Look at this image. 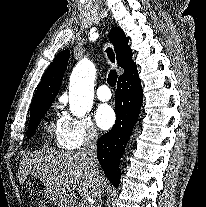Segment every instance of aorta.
Instances as JSON below:
<instances>
[{"instance_id":"aorta-1","label":"aorta","mask_w":206,"mask_h":207,"mask_svg":"<svg viewBox=\"0 0 206 207\" xmlns=\"http://www.w3.org/2000/svg\"><path fill=\"white\" fill-rule=\"evenodd\" d=\"M95 74L94 64L85 59L76 65L71 74L69 106L76 117H83L92 108Z\"/></svg>"}]
</instances>
